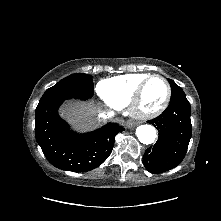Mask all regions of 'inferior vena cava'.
<instances>
[{
	"label": "inferior vena cava",
	"instance_id": "602c4592",
	"mask_svg": "<svg viewBox=\"0 0 221 221\" xmlns=\"http://www.w3.org/2000/svg\"><path fill=\"white\" fill-rule=\"evenodd\" d=\"M99 118H101V119H109V118H111L112 116H113V112H100L99 113Z\"/></svg>",
	"mask_w": 221,
	"mask_h": 221
}]
</instances>
